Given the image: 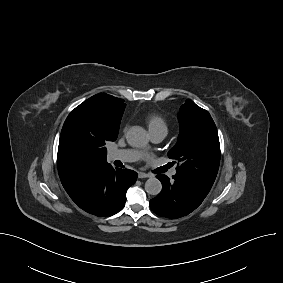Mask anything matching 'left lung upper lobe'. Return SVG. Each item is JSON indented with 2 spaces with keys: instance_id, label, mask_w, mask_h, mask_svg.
<instances>
[{
  "instance_id": "left-lung-upper-lobe-1",
  "label": "left lung upper lobe",
  "mask_w": 283,
  "mask_h": 283,
  "mask_svg": "<svg viewBox=\"0 0 283 283\" xmlns=\"http://www.w3.org/2000/svg\"><path fill=\"white\" fill-rule=\"evenodd\" d=\"M180 134L168 157L180 166L176 174L209 192L220 163V143L216 125L208 111L188 99L178 113Z\"/></svg>"
}]
</instances>
